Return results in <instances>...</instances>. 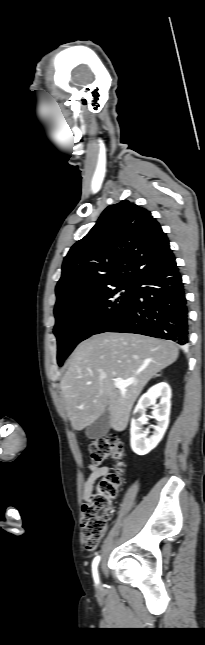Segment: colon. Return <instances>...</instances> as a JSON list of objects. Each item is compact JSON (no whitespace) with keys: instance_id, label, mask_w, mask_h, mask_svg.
<instances>
[{"instance_id":"colon-1","label":"colon","mask_w":205,"mask_h":645,"mask_svg":"<svg viewBox=\"0 0 205 645\" xmlns=\"http://www.w3.org/2000/svg\"><path fill=\"white\" fill-rule=\"evenodd\" d=\"M91 461L96 465L103 464L112 457L119 461L113 471L104 476L97 484L95 491L82 505L81 530L86 549L95 550L101 541L113 510V502L118 494L122 481V463L124 456L122 444L115 438H99L88 448Z\"/></svg>"}]
</instances>
